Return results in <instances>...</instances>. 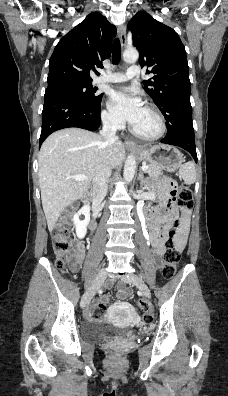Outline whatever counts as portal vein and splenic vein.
<instances>
[{"mask_svg":"<svg viewBox=\"0 0 228 396\" xmlns=\"http://www.w3.org/2000/svg\"><path fill=\"white\" fill-rule=\"evenodd\" d=\"M141 169L143 171H146L148 169V166L144 164V165H142ZM67 178H71V179H74L76 181H84V180L87 179V177L85 175H82V174L73 175V176H67Z\"/></svg>","mask_w":228,"mask_h":396,"instance_id":"18ae733b","label":"portal vein and splenic vein"}]
</instances>
